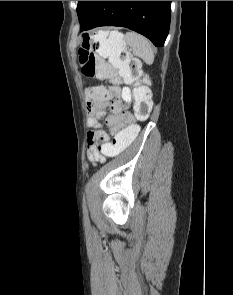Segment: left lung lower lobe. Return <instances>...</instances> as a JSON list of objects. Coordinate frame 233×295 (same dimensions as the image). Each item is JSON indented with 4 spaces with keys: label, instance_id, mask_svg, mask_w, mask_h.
I'll list each match as a JSON object with an SVG mask.
<instances>
[{
    "label": "left lung lower lobe",
    "instance_id": "left-lung-lower-lobe-1",
    "mask_svg": "<svg viewBox=\"0 0 233 295\" xmlns=\"http://www.w3.org/2000/svg\"><path fill=\"white\" fill-rule=\"evenodd\" d=\"M170 4L171 1H98L80 30L121 26L146 36L157 47L162 46L169 32Z\"/></svg>",
    "mask_w": 233,
    "mask_h": 295
}]
</instances>
